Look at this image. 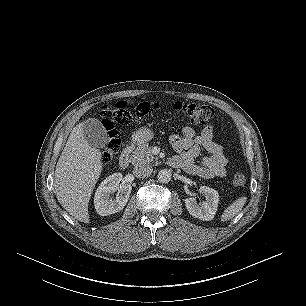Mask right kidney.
I'll list each match as a JSON object with an SVG mask.
<instances>
[{
	"instance_id": "obj_1",
	"label": "right kidney",
	"mask_w": 306,
	"mask_h": 306,
	"mask_svg": "<svg viewBox=\"0 0 306 306\" xmlns=\"http://www.w3.org/2000/svg\"><path fill=\"white\" fill-rule=\"evenodd\" d=\"M122 180L121 173H114L108 176L101 182L95 192L94 206L97 213L101 216L121 211L128 202L132 186L130 184H123L119 186ZM118 190V195L115 199L110 198V194Z\"/></svg>"
}]
</instances>
